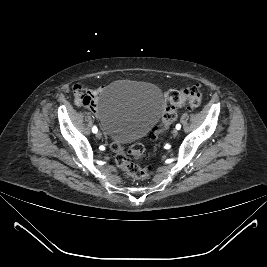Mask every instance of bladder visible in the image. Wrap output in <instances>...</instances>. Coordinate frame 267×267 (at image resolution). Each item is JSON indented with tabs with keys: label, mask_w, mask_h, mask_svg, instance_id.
<instances>
[{
	"label": "bladder",
	"mask_w": 267,
	"mask_h": 267,
	"mask_svg": "<svg viewBox=\"0 0 267 267\" xmlns=\"http://www.w3.org/2000/svg\"><path fill=\"white\" fill-rule=\"evenodd\" d=\"M162 108L163 94L157 87L124 79L110 83L101 93L97 113L108 137L127 144L147 134Z\"/></svg>",
	"instance_id": "31cf9c89"
}]
</instances>
